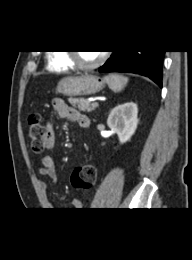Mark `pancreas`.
Here are the masks:
<instances>
[{"label": "pancreas", "instance_id": "obj_1", "mask_svg": "<svg viewBox=\"0 0 192 260\" xmlns=\"http://www.w3.org/2000/svg\"><path fill=\"white\" fill-rule=\"evenodd\" d=\"M68 102L74 107L79 109L83 112H92L95 108L92 107L91 102L85 100V99H75V98H69Z\"/></svg>", "mask_w": 192, "mask_h": 260}]
</instances>
